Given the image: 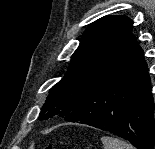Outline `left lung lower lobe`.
<instances>
[{"instance_id": "0a47b994", "label": "left lung lower lobe", "mask_w": 155, "mask_h": 149, "mask_svg": "<svg viewBox=\"0 0 155 149\" xmlns=\"http://www.w3.org/2000/svg\"><path fill=\"white\" fill-rule=\"evenodd\" d=\"M64 120L88 124L154 149V102L143 50L130 34L114 63L87 90Z\"/></svg>"}]
</instances>
